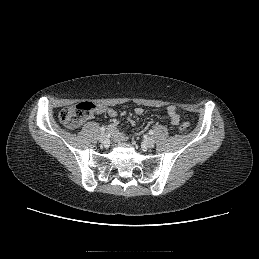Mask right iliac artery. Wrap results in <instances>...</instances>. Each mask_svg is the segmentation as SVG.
I'll return each mask as SVG.
<instances>
[{
	"mask_svg": "<svg viewBox=\"0 0 259 259\" xmlns=\"http://www.w3.org/2000/svg\"><path fill=\"white\" fill-rule=\"evenodd\" d=\"M100 131H101V132H104V131H105V127H101V128H100Z\"/></svg>",
	"mask_w": 259,
	"mask_h": 259,
	"instance_id": "82829eb1",
	"label": "right iliac artery"
}]
</instances>
